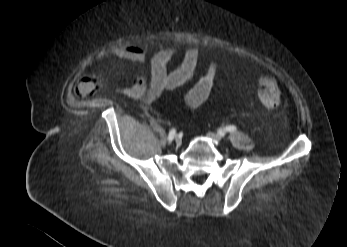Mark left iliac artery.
Wrapping results in <instances>:
<instances>
[{"mask_svg":"<svg viewBox=\"0 0 347 247\" xmlns=\"http://www.w3.org/2000/svg\"><path fill=\"white\" fill-rule=\"evenodd\" d=\"M236 130H237V128H236L235 126L229 125V126H227L224 130L220 129V130H219V134H220L221 136H223V135H224V131H227V132H235Z\"/></svg>","mask_w":347,"mask_h":247,"instance_id":"obj_1","label":"left iliac artery"}]
</instances>
